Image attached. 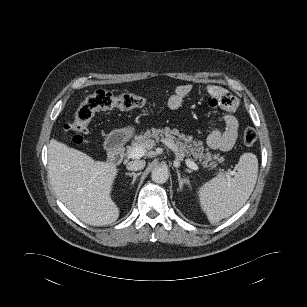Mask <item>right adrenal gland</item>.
Segmentation results:
<instances>
[{
  "instance_id": "obj_1",
  "label": "right adrenal gland",
  "mask_w": 307,
  "mask_h": 307,
  "mask_svg": "<svg viewBox=\"0 0 307 307\" xmlns=\"http://www.w3.org/2000/svg\"><path fill=\"white\" fill-rule=\"evenodd\" d=\"M141 173H135V172H132V173H125V175H128L130 177H133V180H132V184H134V182L136 181L137 177L140 175Z\"/></svg>"
}]
</instances>
